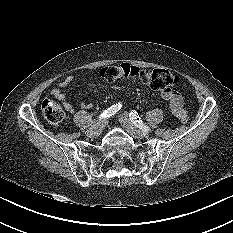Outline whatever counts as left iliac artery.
<instances>
[{
    "label": "left iliac artery",
    "instance_id": "44dca946",
    "mask_svg": "<svg viewBox=\"0 0 233 233\" xmlns=\"http://www.w3.org/2000/svg\"><path fill=\"white\" fill-rule=\"evenodd\" d=\"M129 118L135 124V126L139 127L142 131L148 132L150 130V128L143 123L136 111L132 110L129 113Z\"/></svg>",
    "mask_w": 233,
    "mask_h": 233
}]
</instances>
